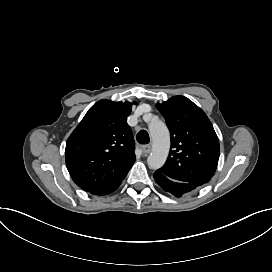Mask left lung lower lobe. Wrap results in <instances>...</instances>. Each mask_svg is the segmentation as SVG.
Segmentation results:
<instances>
[{"label": "left lung lower lobe", "mask_w": 272, "mask_h": 272, "mask_svg": "<svg viewBox=\"0 0 272 272\" xmlns=\"http://www.w3.org/2000/svg\"><path fill=\"white\" fill-rule=\"evenodd\" d=\"M154 179L164 191L169 192L176 197H181L198 188L197 186L186 182L173 180L158 170L154 173Z\"/></svg>", "instance_id": "0a47b994"}]
</instances>
